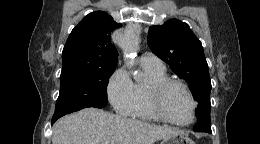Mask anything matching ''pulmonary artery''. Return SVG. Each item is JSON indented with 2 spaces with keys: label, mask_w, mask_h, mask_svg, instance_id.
<instances>
[{
  "label": "pulmonary artery",
  "mask_w": 260,
  "mask_h": 144,
  "mask_svg": "<svg viewBox=\"0 0 260 144\" xmlns=\"http://www.w3.org/2000/svg\"><path fill=\"white\" fill-rule=\"evenodd\" d=\"M140 62L146 67L157 70H164V64L162 60L151 52L143 53L140 57Z\"/></svg>",
  "instance_id": "e3ab8cb5"
}]
</instances>
